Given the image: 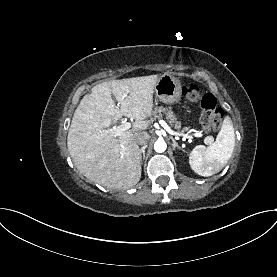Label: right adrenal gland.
Wrapping results in <instances>:
<instances>
[{
  "label": "right adrenal gland",
  "instance_id": "right-adrenal-gland-1",
  "mask_svg": "<svg viewBox=\"0 0 277 277\" xmlns=\"http://www.w3.org/2000/svg\"><path fill=\"white\" fill-rule=\"evenodd\" d=\"M147 148V145L146 146H143L141 149H140V156H141V161H143L145 159V149Z\"/></svg>",
  "mask_w": 277,
  "mask_h": 277
}]
</instances>
